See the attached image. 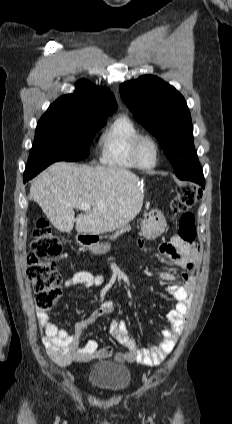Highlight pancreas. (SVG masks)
Returning a JSON list of instances; mask_svg holds the SVG:
<instances>
[{"label": "pancreas", "mask_w": 232, "mask_h": 424, "mask_svg": "<svg viewBox=\"0 0 232 424\" xmlns=\"http://www.w3.org/2000/svg\"><path fill=\"white\" fill-rule=\"evenodd\" d=\"M131 227L129 225H125L123 227H121L120 230H118L113 236H111V238H115L118 235H121L122 233L126 232V231H130Z\"/></svg>", "instance_id": "1"}]
</instances>
